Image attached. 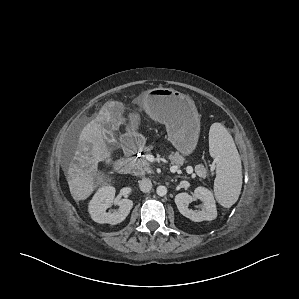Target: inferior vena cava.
Masks as SVG:
<instances>
[{"instance_id":"1","label":"inferior vena cava","mask_w":299,"mask_h":299,"mask_svg":"<svg viewBox=\"0 0 299 299\" xmlns=\"http://www.w3.org/2000/svg\"><path fill=\"white\" fill-rule=\"evenodd\" d=\"M139 188L142 192H149L152 188V182L148 178L139 181Z\"/></svg>"}]
</instances>
